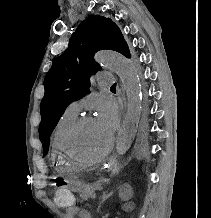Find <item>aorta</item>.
<instances>
[{"instance_id":"obj_1","label":"aorta","mask_w":211,"mask_h":218,"mask_svg":"<svg viewBox=\"0 0 211 218\" xmlns=\"http://www.w3.org/2000/svg\"><path fill=\"white\" fill-rule=\"evenodd\" d=\"M95 59L119 76L126 92L127 113L116 140V151L123 155L131 146L141 116L142 93L139 77L134 66L121 54L101 51L95 55Z\"/></svg>"}]
</instances>
